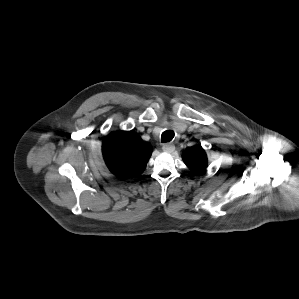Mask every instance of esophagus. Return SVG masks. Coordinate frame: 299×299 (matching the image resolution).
Instances as JSON below:
<instances>
[{
  "mask_svg": "<svg viewBox=\"0 0 299 299\" xmlns=\"http://www.w3.org/2000/svg\"><path fill=\"white\" fill-rule=\"evenodd\" d=\"M162 150L166 153H172L175 150V147L173 144L167 143L163 145Z\"/></svg>",
  "mask_w": 299,
  "mask_h": 299,
  "instance_id": "1",
  "label": "esophagus"
}]
</instances>
